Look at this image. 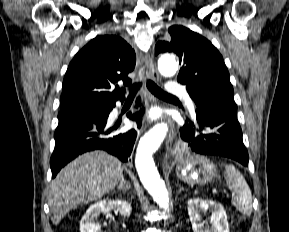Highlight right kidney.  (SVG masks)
<instances>
[{
	"label": "right kidney",
	"mask_w": 289,
	"mask_h": 232,
	"mask_svg": "<svg viewBox=\"0 0 289 232\" xmlns=\"http://www.w3.org/2000/svg\"><path fill=\"white\" fill-rule=\"evenodd\" d=\"M113 208L117 209L124 217L131 214V206L126 200L122 199H104L91 205L80 222V232H98L99 223L96 222L101 213L107 214Z\"/></svg>",
	"instance_id": "obj_1"
}]
</instances>
